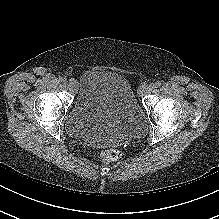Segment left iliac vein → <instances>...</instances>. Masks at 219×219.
Listing matches in <instances>:
<instances>
[{"label": "left iliac vein", "mask_w": 219, "mask_h": 219, "mask_svg": "<svg viewBox=\"0 0 219 219\" xmlns=\"http://www.w3.org/2000/svg\"><path fill=\"white\" fill-rule=\"evenodd\" d=\"M154 86L152 84H142L139 89L138 93L139 95H147L150 94L153 90Z\"/></svg>", "instance_id": "1"}]
</instances>
